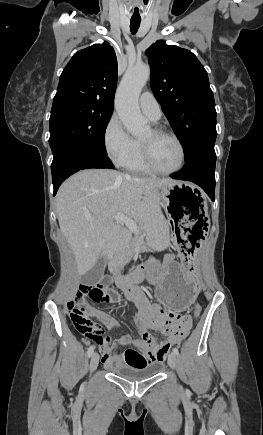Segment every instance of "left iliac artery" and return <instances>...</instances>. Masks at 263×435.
Listing matches in <instances>:
<instances>
[{"label":"left iliac artery","mask_w":263,"mask_h":435,"mask_svg":"<svg viewBox=\"0 0 263 435\" xmlns=\"http://www.w3.org/2000/svg\"><path fill=\"white\" fill-rule=\"evenodd\" d=\"M173 353H175L176 355H178L179 354V351H178V349L175 347V348H173Z\"/></svg>","instance_id":"obj_1"}]
</instances>
